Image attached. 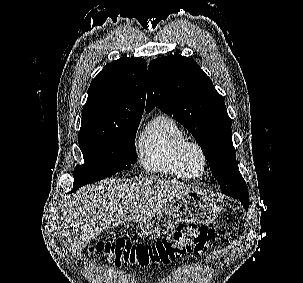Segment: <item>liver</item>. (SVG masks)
Returning <instances> with one entry per match:
<instances>
[{"mask_svg": "<svg viewBox=\"0 0 303 283\" xmlns=\"http://www.w3.org/2000/svg\"><path fill=\"white\" fill-rule=\"evenodd\" d=\"M197 191L176 180L106 179L81 188L62 207L63 234L70 250L80 252L104 230L140 222L176 197Z\"/></svg>", "mask_w": 303, "mask_h": 283, "instance_id": "obj_1", "label": "liver"}]
</instances>
